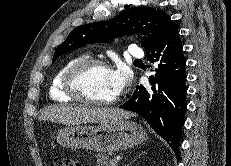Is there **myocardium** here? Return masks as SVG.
I'll list each match as a JSON object with an SVG mask.
<instances>
[{"label":"myocardium","instance_id":"f54148a6","mask_svg":"<svg viewBox=\"0 0 231 166\" xmlns=\"http://www.w3.org/2000/svg\"><path fill=\"white\" fill-rule=\"evenodd\" d=\"M92 68H104L110 70V66L103 60L88 58L73 64L65 73L63 78V89L67 95L75 100L96 106H111L119 101V96L111 100L94 99L86 95L80 87L81 76Z\"/></svg>","mask_w":231,"mask_h":166}]
</instances>
